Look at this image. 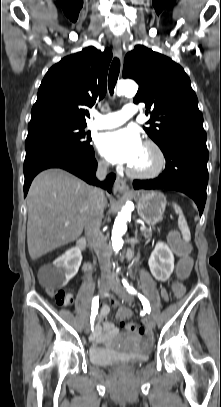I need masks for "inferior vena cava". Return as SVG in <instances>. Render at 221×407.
I'll use <instances>...</instances> for the list:
<instances>
[{"instance_id":"602c4592","label":"inferior vena cava","mask_w":221,"mask_h":407,"mask_svg":"<svg viewBox=\"0 0 221 407\" xmlns=\"http://www.w3.org/2000/svg\"><path fill=\"white\" fill-rule=\"evenodd\" d=\"M108 166V163L105 162L98 163L96 177L99 180L105 179L108 172ZM91 203L90 215L85 225V236L98 257L101 271L107 273L110 271L111 251L100 230L105 206L103 190L96 187L92 189Z\"/></svg>"}]
</instances>
